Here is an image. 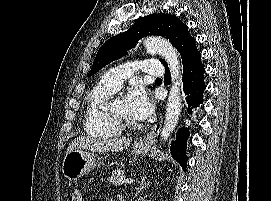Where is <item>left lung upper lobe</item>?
I'll return each instance as SVG.
<instances>
[{"instance_id":"1","label":"left lung upper lobe","mask_w":271,"mask_h":201,"mask_svg":"<svg viewBox=\"0 0 271 201\" xmlns=\"http://www.w3.org/2000/svg\"><path fill=\"white\" fill-rule=\"evenodd\" d=\"M162 36L179 49L194 39L188 32V27L180 19L170 14H150L138 19L130 29L108 39L98 50L88 77L97 73L110 62L127 54L138 40L145 36ZM163 65L167 63L161 59Z\"/></svg>"}]
</instances>
